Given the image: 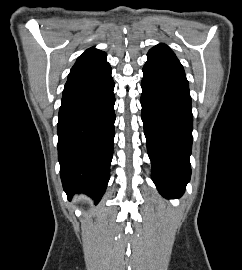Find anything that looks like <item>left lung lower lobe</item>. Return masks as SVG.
I'll return each mask as SVG.
<instances>
[{
	"label": "left lung lower lobe",
	"instance_id": "left-lung-lower-lobe-1",
	"mask_svg": "<svg viewBox=\"0 0 242 270\" xmlns=\"http://www.w3.org/2000/svg\"><path fill=\"white\" fill-rule=\"evenodd\" d=\"M142 121L152 180L166 198L180 197L190 181L193 115L189 84L178 60L150 58L143 67Z\"/></svg>",
	"mask_w": 242,
	"mask_h": 270
}]
</instances>
